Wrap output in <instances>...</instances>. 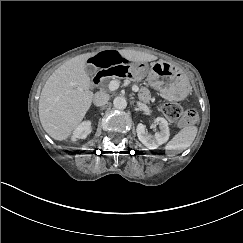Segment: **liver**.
<instances>
[{
  "mask_svg": "<svg viewBox=\"0 0 243 243\" xmlns=\"http://www.w3.org/2000/svg\"><path fill=\"white\" fill-rule=\"evenodd\" d=\"M129 62H151L157 56L131 49L118 50ZM98 52L78 55L58 67L47 79L39 99L38 113L45 132L54 140L69 141L89 110L94 94L88 90L86 63Z\"/></svg>",
  "mask_w": 243,
  "mask_h": 243,
  "instance_id": "1",
  "label": "liver"
}]
</instances>
